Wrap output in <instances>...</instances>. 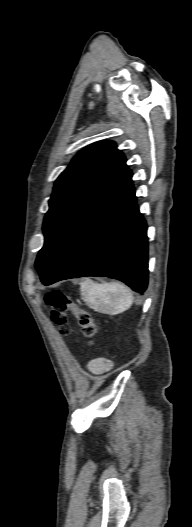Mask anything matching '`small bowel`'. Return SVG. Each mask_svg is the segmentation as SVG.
Listing matches in <instances>:
<instances>
[{"instance_id":"obj_1","label":"small bowel","mask_w":192,"mask_h":527,"mask_svg":"<svg viewBox=\"0 0 192 527\" xmlns=\"http://www.w3.org/2000/svg\"><path fill=\"white\" fill-rule=\"evenodd\" d=\"M112 367L110 360L105 358H96L89 362L88 368L94 374H102L107 372Z\"/></svg>"}]
</instances>
